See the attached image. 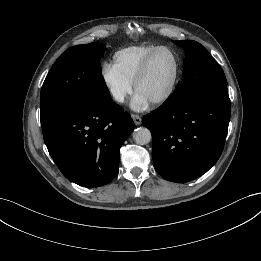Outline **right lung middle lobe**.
I'll list each match as a JSON object with an SVG mask.
<instances>
[{
  "mask_svg": "<svg viewBox=\"0 0 261 261\" xmlns=\"http://www.w3.org/2000/svg\"><path fill=\"white\" fill-rule=\"evenodd\" d=\"M104 50L100 43L77 45L56 60L41 89L42 126L71 110L112 100L101 73Z\"/></svg>",
  "mask_w": 261,
  "mask_h": 261,
  "instance_id": "obj_1",
  "label": "right lung middle lobe"
}]
</instances>
